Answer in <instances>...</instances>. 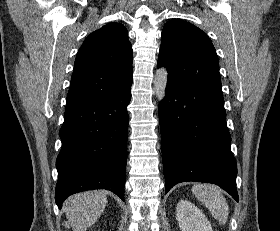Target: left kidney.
<instances>
[{"label":"left kidney","instance_id":"obj_1","mask_svg":"<svg viewBox=\"0 0 280 231\" xmlns=\"http://www.w3.org/2000/svg\"><path fill=\"white\" fill-rule=\"evenodd\" d=\"M176 215L181 231H213L205 213L187 199L178 201Z\"/></svg>","mask_w":280,"mask_h":231}]
</instances>
